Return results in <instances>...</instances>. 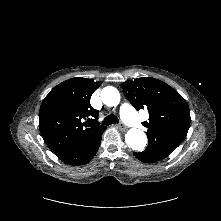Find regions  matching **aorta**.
I'll return each mask as SVG.
<instances>
[{
	"label": "aorta",
	"instance_id": "762f6f07",
	"mask_svg": "<svg viewBox=\"0 0 221 221\" xmlns=\"http://www.w3.org/2000/svg\"><path fill=\"white\" fill-rule=\"evenodd\" d=\"M101 100L107 106H116L120 101L119 91L112 86L104 87L101 91ZM125 142L131 149L143 151L147 144V138L142 130L132 128L126 133Z\"/></svg>",
	"mask_w": 221,
	"mask_h": 221
}]
</instances>
